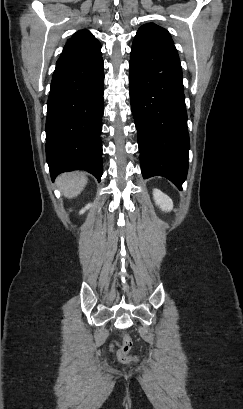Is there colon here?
Wrapping results in <instances>:
<instances>
[{
  "label": "colon",
  "mask_w": 243,
  "mask_h": 409,
  "mask_svg": "<svg viewBox=\"0 0 243 409\" xmlns=\"http://www.w3.org/2000/svg\"><path fill=\"white\" fill-rule=\"evenodd\" d=\"M131 347H132L131 338L125 335L117 351V359L123 363H129L133 361L135 359V356L130 354Z\"/></svg>",
  "instance_id": "5ec220e1"
}]
</instances>
